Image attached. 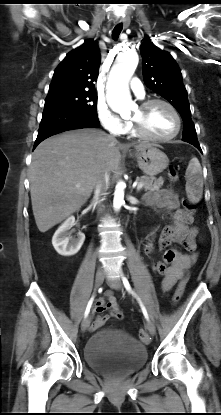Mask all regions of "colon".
Instances as JSON below:
<instances>
[{"label": "colon", "instance_id": "1", "mask_svg": "<svg viewBox=\"0 0 221 415\" xmlns=\"http://www.w3.org/2000/svg\"><path fill=\"white\" fill-rule=\"evenodd\" d=\"M169 177L172 180L173 185H178L179 184L178 172H177L176 168L173 167V166H171L169 168ZM180 202L182 203L184 210H188L189 214H195L196 206L194 204L186 201L185 196L181 197ZM186 282H187L186 278H184L180 281V283H179V285L176 289V292L173 296V299H172L173 304L178 303L179 300L181 299V297L183 295V292H184V289H185V286H186ZM139 337L143 341H148L149 336H148L147 330L145 328H141L139 330Z\"/></svg>", "mask_w": 221, "mask_h": 415}]
</instances>
